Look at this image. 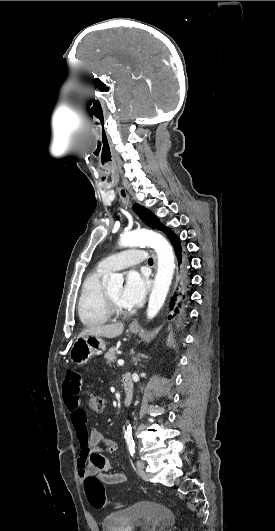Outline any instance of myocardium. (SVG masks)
<instances>
[{"label":"myocardium","mask_w":275,"mask_h":531,"mask_svg":"<svg viewBox=\"0 0 275 531\" xmlns=\"http://www.w3.org/2000/svg\"><path fill=\"white\" fill-rule=\"evenodd\" d=\"M103 293H104V300H105L106 308L108 312L110 313V315L121 316V315H125L129 311V309L125 311L119 309L114 299L112 298L110 293L105 288L103 289Z\"/></svg>","instance_id":"myocardium-1"}]
</instances>
